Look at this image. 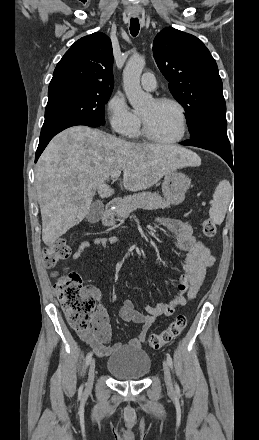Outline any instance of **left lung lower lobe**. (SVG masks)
Here are the masks:
<instances>
[{
    "label": "left lung lower lobe",
    "mask_w": 259,
    "mask_h": 440,
    "mask_svg": "<svg viewBox=\"0 0 259 440\" xmlns=\"http://www.w3.org/2000/svg\"><path fill=\"white\" fill-rule=\"evenodd\" d=\"M182 145L195 146L213 151L221 156L231 167L232 153L227 136V126L210 125L203 128L190 140L182 142Z\"/></svg>",
    "instance_id": "left-lung-lower-lobe-1"
}]
</instances>
